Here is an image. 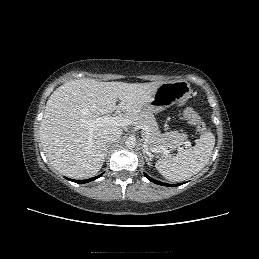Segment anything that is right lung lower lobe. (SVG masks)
Here are the masks:
<instances>
[{
    "mask_svg": "<svg viewBox=\"0 0 259 259\" xmlns=\"http://www.w3.org/2000/svg\"><path fill=\"white\" fill-rule=\"evenodd\" d=\"M102 174H103V173H102ZM102 174H100V175H98V176H96V177L87 179V180H72V179H69V180H71V181H73V182H76V183H87V182H90V181H93V180L99 178L100 176H102Z\"/></svg>",
    "mask_w": 259,
    "mask_h": 259,
    "instance_id": "obj_1",
    "label": "right lung lower lobe"
}]
</instances>
